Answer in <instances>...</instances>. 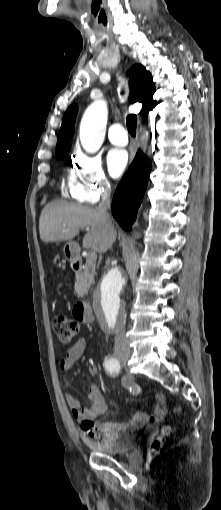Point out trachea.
Wrapping results in <instances>:
<instances>
[{"label":"trachea","mask_w":221,"mask_h":510,"mask_svg":"<svg viewBox=\"0 0 221 510\" xmlns=\"http://www.w3.org/2000/svg\"><path fill=\"white\" fill-rule=\"evenodd\" d=\"M126 125L128 132L135 137L136 135V127H137V116L135 114H130L127 116Z\"/></svg>","instance_id":"3493384b"}]
</instances>
